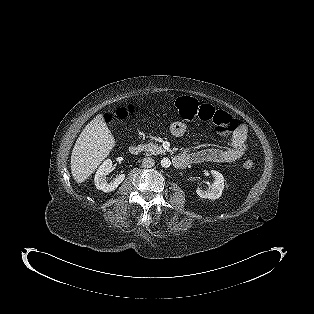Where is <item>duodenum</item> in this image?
I'll return each mask as SVG.
<instances>
[{"label":"duodenum","instance_id":"obj_1","mask_svg":"<svg viewBox=\"0 0 314 314\" xmlns=\"http://www.w3.org/2000/svg\"><path fill=\"white\" fill-rule=\"evenodd\" d=\"M142 151V147L138 144L131 145L129 147V153L131 155H138ZM188 163V158L185 155H177L173 158V165L178 168H184Z\"/></svg>","mask_w":314,"mask_h":314}]
</instances>
